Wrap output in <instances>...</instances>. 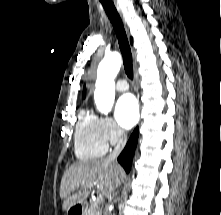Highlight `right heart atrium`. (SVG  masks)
Returning <instances> with one entry per match:
<instances>
[{
    "label": "right heart atrium",
    "mask_w": 221,
    "mask_h": 215,
    "mask_svg": "<svg viewBox=\"0 0 221 215\" xmlns=\"http://www.w3.org/2000/svg\"><path fill=\"white\" fill-rule=\"evenodd\" d=\"M98 126L101 138L106 144H118L123 140L124 134L115 122L107 116L98 118Z\"/></svg>",
    "instance_id": "d8ad5b80"
}]
</instances>
